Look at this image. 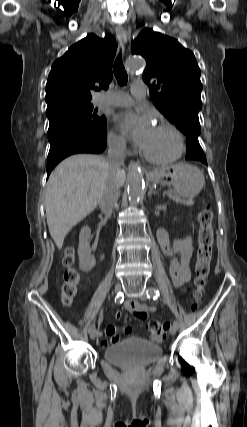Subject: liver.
Segmentation results:
<instances>
[{"instance_id": "1", "label": "liver", "mask_w": 247, "mask_h": 427, "mask_svg": "<svg viewBox=\"0 0 247 427\" xmlns=\"http://www.w3.org/2000/svg\"><path fill=\"white\" fill-rule=\"evenodd\" d=\"M110 176L119 186L126 180L124 170L111 174L106 158L93 154L72 155L51 173L45 209L49 232L58 249L70 230L96 208Z\"/></svg>"}]
</instances>
